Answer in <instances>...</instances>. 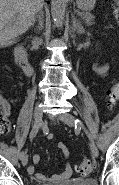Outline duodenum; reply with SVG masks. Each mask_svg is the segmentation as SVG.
Wrapping results in <instances>:
<instances>
[{
	"mask_svg": "<svg viewBox=\"0 0 119 185\" xmlns=\"http://www.w3.org/2000/svg\"><path fill=\"white\" fill-rule=\"evenodd\" d=\"M15 59L26 75L31 76L34 73V68L29 62L27 50L21 43L15 47Z\"/></svg>",
	"mask_w": 119,
	"mask_h": 185,
	"instance_id": "1",
	"label": "duodenum"
}]
</instances>
